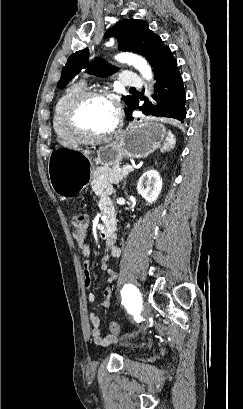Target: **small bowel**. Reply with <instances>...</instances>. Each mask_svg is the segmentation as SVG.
<instances>
[{"instance_id":"c3829d8e","label":"small bowel","mask_w":243,"mask_h":409,"mask_svg":"<svg viewBox=\"0 0 243 409\" xmlns=\"http://www.w3.org/2000/svg\"><path fill=\"white\" fill-rule=\"evenodd\" d=\"M95 190L102 195L101 209L103 211L110 209L114 211L112 202L108 197L110 188L101 184L95 185ZM105 253L102 258L101 268L108 274L107 284L103 291V299L95 305V309L108 308L110 306V300L112 296V284L117 279V273L110 266L111 258H118L121 256V248L117 244L115 235L109 240H106ZM82 252L85 257L83 261V274H84V285L89 289L92 285V277L90 271V262L88 260L90 250L87 244H81ZM88 299L91 303H94L96 296L94 293H90ZM90 323L92 325L91 336L93 341L104 347H108L117 342V338L114 335L104 336L100 329V318L96 312H92L89 315Z\"/></svg>"}]
</instances>
